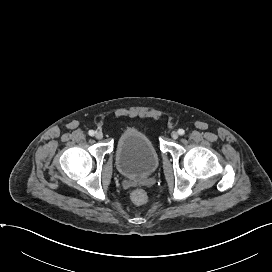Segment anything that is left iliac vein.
<instances>
[{"label": "left iliac vein", "instance_id": "4c4485c4", "mask_svg": "<svg viewBox=\"0 0 272 272\" xmlns=\"http://www.w3.org/2000/svg\"><path fill=\"white\" fill-rule=\"evenodd\" d=\"M178 132H176V131H174V132H172V134H171V137L173 138V139H177L178 138Z\"/></svg>", "mask_w": 272, "mask_h": 272}]
</instances>
